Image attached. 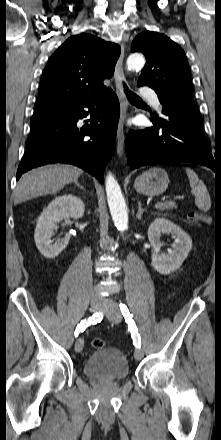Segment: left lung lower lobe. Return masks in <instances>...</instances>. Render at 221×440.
<instances>
[{
    "label": "left lung lower lobe",
    "instance_id": "1",
    "mask_svg": "<svg viewBox=\"0 0 221 440\" xmlns=\"http://www.w3.org/2000/svg\"><path fill=\"white\" fill-rule=\"evenodd\" d=\"M162 114L161 118L153 116V127L127 135L125 147L131 169L169 162H192L215 172L221 169L203 133L201 116L174 107H163Z\"/></svg>",
    "mask_w": 221,
    "mask_h": 440
}]
</instances>
